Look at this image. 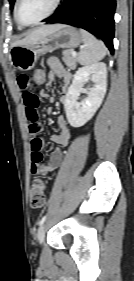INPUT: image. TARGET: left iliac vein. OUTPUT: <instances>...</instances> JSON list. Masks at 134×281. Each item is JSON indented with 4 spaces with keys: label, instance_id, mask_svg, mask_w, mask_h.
I'll list each match as a JSON object with an SVG mask.
<instances>
[{
    "label": "left iliac vein",
    "instance_id": "obj_1",
    "mask_svg": "<svg viewBox=\"0 0 134 281\" xmlns=\"http://www.w3.org/2000/svg\"><path fill=\"white\" fill-rule=\"evenodd\" d=\"M45 232H46V225L42 224L38 230L37 234V240L40 244H42L44 237H45Z\"/></svg>",
    "mask_w": 134,
    "mask_h": 281
}]
</instances>
